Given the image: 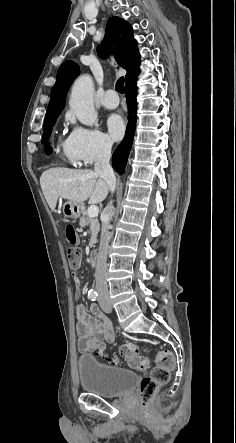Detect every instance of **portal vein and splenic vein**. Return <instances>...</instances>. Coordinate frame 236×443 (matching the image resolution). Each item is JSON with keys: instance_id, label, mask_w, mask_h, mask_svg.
<instances>
[{"instance_id": "18ae733b", "label": "portal vein and splenic vein", "mask_w": 236, "mask_h": 443, "mask_svg": "<svg viewBox=\"0 0 236 443\" xmlns=\"http://www.w3.org/2000/svg\"><path fill=\"white\" fill-rule=\"evenodd\" d=\"M98 211H99L98 207L95 205H92L88 208V216L90 218H94L98 215Z\"/></svg>"}]
</instances>
